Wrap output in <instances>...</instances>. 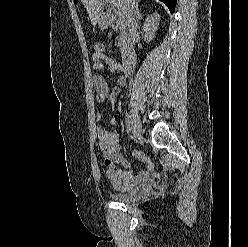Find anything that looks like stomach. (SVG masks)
Listing matches in <instances>:
<instances>
[{
  "label": "stomach",
  "mask_w": 248,
  "mask_h": 247,
  "mask_svg": "<svg viewBox=\"0 0 248 247\" xmlns=\"http://www.w3.org/2000/svg\"><path fill=\"white\" fill-rule=\"evenodd\" d=\"M98 24L101 29H105L107 27V23L102 19H99Z\"/></svg>",
  "instance_id": "0dacf381"
}]
</instances>
